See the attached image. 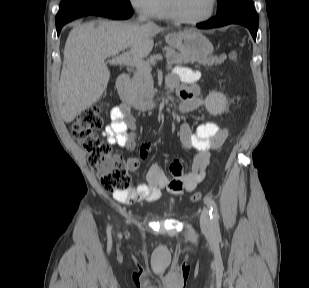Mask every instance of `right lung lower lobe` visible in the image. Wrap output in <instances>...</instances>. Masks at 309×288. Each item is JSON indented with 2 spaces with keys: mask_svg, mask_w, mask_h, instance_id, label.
I'll list each match as a JSON object with an SVG mask.
<instances>
[{
  "mask_svg": "<svg viewBox=\"0 0 309 288\" xmlns=\"http://www.w3.org/2000/svg\"><path fill=\"white\" fill-rule=\"evenodd\" d=\"M133 10L131 7L109 5V4H94L86 6L76 12L71 13L62 21L56 23L57 34H60L61 28L66 23L87 15L104 16L112 19H128L132 16Z\"/></svg>",
  "mask_w": 309,
  "mask_h": 288,
  "instance_id": "1",
  "label": "right lung lower lobe"
}]
</instances>
